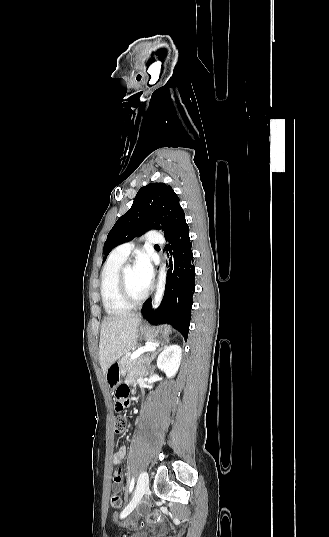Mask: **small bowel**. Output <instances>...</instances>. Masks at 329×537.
<instances>
[{"label":"small bowel","mask_w":329,"mask_h":537,"mask_svg":"<svg viewBox=\"0 0 329 537\" xmlns=\"http://www.w3.org/2000/svg\"><path fill=\"white\" fill-rule=\"evenodd\" d=\"M130 384L128 381H119L114 395L115 409L117 412H125L129 408ZM126 455V447L120 446L113 455V463L119 464ZM114 488L118 491L123 488V474L120 469H116L113 473Z\"/></svg>","instance_id":"obj_1"}]
</instances>
